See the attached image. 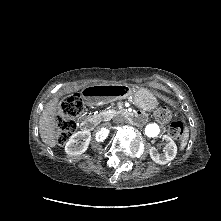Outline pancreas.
Masks as SVG:
<instances>
[{
	"label": "pancreas",
	"instance_id": "obj_1",
	"mask_svg": "<svg viewBox=\"0 0 221 221\" xmlns=\"http://www.w3.org/2000/svg\"><path fill=\"white\" fill-rule=\"evenodd\" d=\"M123 110L121 111H114V110H107L105 112H102L98 115H96V120L97 121H101V120H108L110 119L112 116L118 114V113H121Z\"/></svg>",
	"mask_w": 221,
	"mask_h": 221
}]
</instances>
